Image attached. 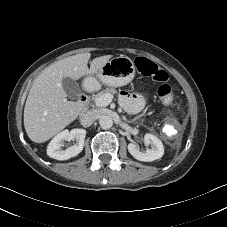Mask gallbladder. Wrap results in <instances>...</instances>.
<instances>
[{"mask_svg":"<svg viewBox=\"0 0 227 227\" xmlns=\"http://www.w3.org/2000/svg\"><path fill=\"white\" fill-rule=\"evenodd\" d=\"M62 86L69 98H76L81 92L78 83L71 78H63Z\"/></svg>","mask_w":227,"mask_h":227,"instance_id":"1","label":"gallbladder"}]
</instances>
